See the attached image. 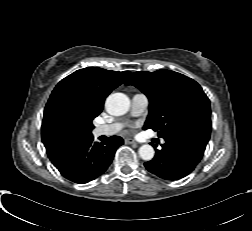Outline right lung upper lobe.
Segmentation results:
<instances>
[{"mask_svg": "<svg viewBox=\"0 0 252 231\" xmlns=\"http://www.w3.org/2000/svg\"><path fill=\"white\" fill-rule=\"evenodd\" d=\"M129 73L87 67L77 70L57 84L46 105L42 123V141L53 164L60 161L71 142L59 141L48 132L45 116L51 102L57 98H66L83 113L96 117L103 109L105 98L124 82Z\"/></svg>", "mask_w": 252, "mask_h": 231, "instance_id": "right-lung-upper-lobe-1", "label": "right lung upper lobe"}]
</instances>
